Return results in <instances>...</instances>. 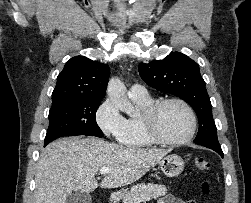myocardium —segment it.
I'll use <instances>...</instances> for the list:
<instances>
[{
  "mask_svg": "<svg viewBox=\"0 0 251 203\" xmlns=\"http://www.w3.org/2000/svg\"><path fill=\"white\" fill-rule=\"evenodd\" d=\"M169 103H177L183 106L188 112L191 120L189 132L181 139L170 140L164 138L158 131L157 120L160 110ZM142 125L148 139L155 144L165 146H179L189 142L195 135L197 130V116L192 106L185 100L177 97L164 98L153 101L142 113Z\"/></svg>",
  "mask_w": 251,
  "mask_h": 203,
  "instance_id": "f54148a6",
  "label": "myocardium"
}]
</instances>
